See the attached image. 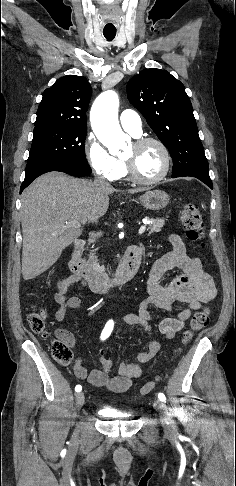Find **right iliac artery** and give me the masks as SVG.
Listing matches in <instances>:
<instances>
[{
    "label": "right iliac artery",
    "mask_w": 236,
    "mask_h": 486,
    "mask_svg": "<svg viewBox=\"0 0 236 486\" xmlns=\"http://www.w3.org/2000/svg\"><path fill=\"white\" fill-rule=\"evenodd\" d=\"M113 324H114V323H113V320H109V321L106 323V325H105V327H104V329H103V331H102V333H101V340H105L106 338H108V337H109V335L111 334V332H112V330H113ZM81 390H82L81 385H77V386L75 387V391H76V392H80Z\"/></svg>",
    "instance_id": "1"
}]
</instances>
